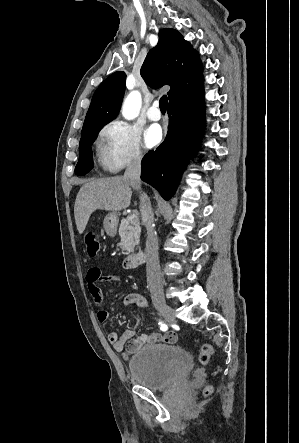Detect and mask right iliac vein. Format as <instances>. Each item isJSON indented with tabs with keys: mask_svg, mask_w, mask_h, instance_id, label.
Masks as SVG:
<instances>
[{
	"mask_svg": "<svg viewBox=\"0 0 299 443\" xmlns=\"http://www.w3.org/2000/svg\"><path fill=\"white\" fill-rule=\"evenodd\" d=\"M156 309L161 313V315L165 318L168 322H175V313L173 309L168 306L164 301H157L155 303Z\"/></svg>",
	"mask_w": 299,
	"mask_h": 443,
	"instance_id": "1",
	"label": "right iliac vein"
}]
</instances>
